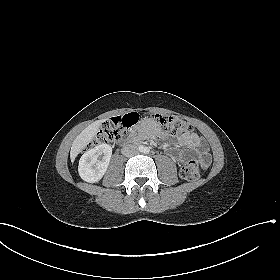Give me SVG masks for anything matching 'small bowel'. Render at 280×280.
<instances>
[{"instance_id":"1","label":"small bowel","mask_w":280,"mask_h":280,"mask_svg":"<svg viewBox=\"0 0 280 280\" xmlns=\"http://www.w3.org/2000/svg\"><path fill=\"white\" fill-rule=\"evenodd\" d=\"M149 124H150L149 121L145 120L143 122V127L147 128L149 127ZM154 133L156 135H160L158 131H154ZM144 137H145V130L140 131L136 135V139H142ZM178 143L181 147L185 149L194 150L199 155L200 161L204 167H207L209 165L210 157H209L207 145L204 142V140L200 138L196 133L191 132V133H186L181 135L178 138ZM184 159L185 157L183 155H179L176 158L178 163H182Z\"/></svg>"}]
</instances>
